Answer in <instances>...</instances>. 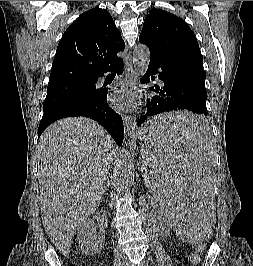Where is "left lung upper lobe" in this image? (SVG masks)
Returning a JSON list of instances; mask_svg holds the SVG:
<instances>
[{
    "label": "left lung upper lobe",
    "instance_id": "1",
    "mask_svg": "<svg viewBox=\"0 0 253 266\" xmlns=\"http://www.w3.org/2000/svg\"><path fill=\"white\" fill-rule=\"evenodd\" d=\"M139 41L159 55H184L203 63L197 39L179 17L160 9L145 18Z\"/></svg>",
    "mask_w": 253,
    "mask_h": 266
}]
</instances>
